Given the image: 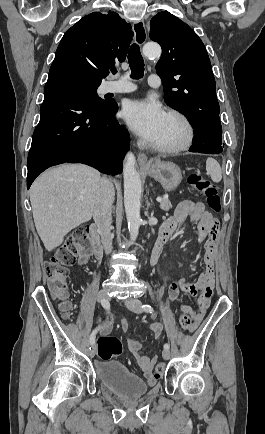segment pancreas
<instances>
[{
  "label": "pancreas",
  "mask_w": 265,
  "mask_h": 434,
  "mask_svg": "<svg viewBox=\"0 0 265 434\" xmlns=\"http://www.w3.org/2000/svg\"><path fill=\"white\" fill-rule=\"evenodd\" d=\"M160 208L161 210H165V212H168V210H171L172 204L170 200H167V198H162V202H160Z\"/></svg>",
  "instance_id": "cf45deb5"
}]
</instances>
